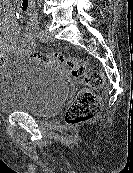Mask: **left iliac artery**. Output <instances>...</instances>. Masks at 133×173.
Here are the masks:
<instances>
[{"mask_svg":"<svg viewBox=\"0 0 133 173\" xmlns=\"http://www.w3.org/2000/svg\"><path fill=\"white\" fill-rule=\"evenodd\" d=\"M38 38H39V40L40 41H44V34H43V30L42 29H40L39 31H38Z\"/></svg>","mask_w":133,"mask_h":173,"instance_id":"44dca946","label":"left iliac artery"}]
</instances>
